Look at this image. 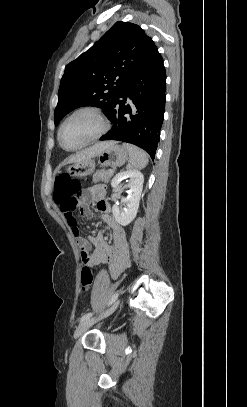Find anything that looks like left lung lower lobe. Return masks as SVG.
Masks as SVG:
<instances>
[{"instance_id":"0a47b994","label":"left lung lower lobe","mask_w":247,"mask_h":407,"mask_svg":"<svg viewBox=\"0 0 247 407\" xmlns=\"http://www.w3.org/2000/svg\"><path fill=\"white\" fill-rule=\"evenodd\" d=\"M165 91V67L156 49L124 86L109 117L112 129L100 140H118L137 145L154 160L164 117ZM127 97L132 106L126 104Z\"/></svg>"}]
</instances>
